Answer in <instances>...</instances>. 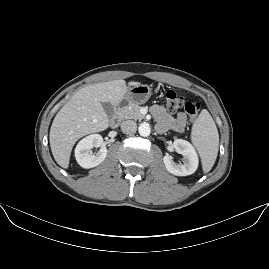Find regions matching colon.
<instances>
[{
	"label": "colon",
	"mask_w": 269,
	"mask_h": 269,
	"mask_svg": "<svg viewBox=\"0 0 269 269\" xmlns=\"http://www.w3.org/2000/svg\"><path fill=\"white\" fill-rule=\"evenodd\" d=\"M164 106L170 113H177L184 109L191 119H195L201 112L200 104L186 101L184 97L174 91H167L164 96Z\"/></svg>",
	"instance_id": "colon-1"
}]
</instances>
